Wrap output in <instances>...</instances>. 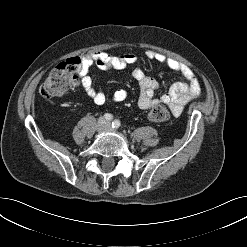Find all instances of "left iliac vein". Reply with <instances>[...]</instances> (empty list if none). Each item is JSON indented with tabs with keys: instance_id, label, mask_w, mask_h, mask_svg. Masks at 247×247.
<instances>
[{
	"instance_id": "4c4485c4",
	"label": "left iliac vein",
	"mask_w": 247,
	"mask_h": 247,
	"mask_svg": "<svg viewBox=\"0 0 247 247\" xmlns=\"http://www.w3.org/2000/svg\"><path fill=\"white\" fill-rule=\"evenodd\" d=\"M110 128H111V125H110V123H108L107 129L110 130Z\"/></svg>"
}]
</instances>
